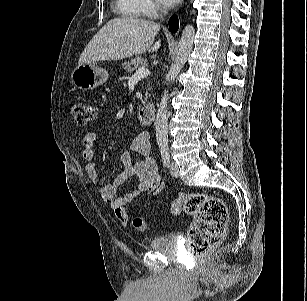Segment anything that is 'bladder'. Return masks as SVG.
I'll return each mask as SVG.
<instances>
[{
  "mask_svg": "<svg viewBox=\"0 0 307 301\" xmlns=\"http://www.w3.org/2000/svg\"><path fill=\"white\" fill-rule=\"evenodd\" d=\"M180 237L178 232L158 236L152 241L150 250L167 258L177 259L179 253L178 241Z\"/></svg>",
  "mask_w": 307,
  "mask_h": 301,
  "instance_id": "obj_1",
  "label": "bladder"
}]
</instances>
